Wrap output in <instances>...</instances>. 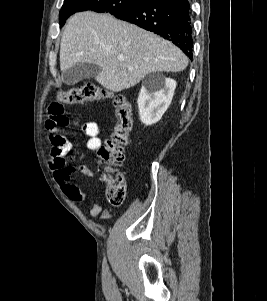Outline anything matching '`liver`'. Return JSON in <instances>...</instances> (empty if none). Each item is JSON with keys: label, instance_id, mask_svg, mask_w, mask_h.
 I'll return each mask as SVG.
<instances>
[{"label": "liver", "instance_id": "liver-1", "mask_svg": "<svg viewBox=\"0 0 267 301\" xmlns=\"http://www.w3.org/2000/svg\"><path fill=\"white\" fill-rule=\"evenodd\" d=\"M101 68L95 77L104 88L121 92L151 72H180L188 58L173 43L109 14L80 12L68 21L61 38L60 69L77 63Z\"/></svg>", "mask_w": 267, "mask_h": 301}]
</instances>
